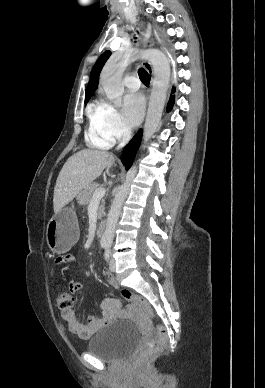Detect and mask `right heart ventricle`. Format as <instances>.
<instances>
[{"label": "right heart ventricle", "mask_w": 265, "mask_h": 388, "mask_svg": "<svg viewBox=\"0 0 265 388\" xmlns=\"http://www.w3.org/2000/svg\"><path fill=\"white\" fill-rule=\"evenodd\" d=\"M97 105H92L89 110L90 125L86 135L87 141L94 146L100 148H109L112 146V139L108 138L100 128L97 115Z\"/></svg>", "instance_id": "1"}]
</instances>
